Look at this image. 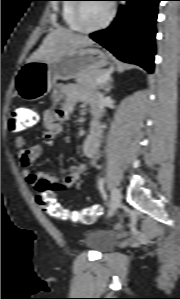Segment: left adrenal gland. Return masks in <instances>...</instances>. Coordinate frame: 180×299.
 I'll return each mask as SVG.
<instances>
[{"label":"left adrenal gland","mask_w":180,"mask_h":299,"mask_svg":"<svg viewBox=\"0 0 180 299\" xmlns=\"http://www.w3.org/2000/svg\"><path fill=\"white\" fill-rule=\"evenodd\" d=\"M112 79L107 83L106 82V86H105V91L106 93H109L111 91V89L113 88V84H112Z\"/></svg>","instance_id":"obj_1"}]
</instances>
